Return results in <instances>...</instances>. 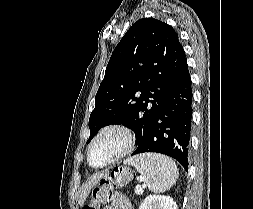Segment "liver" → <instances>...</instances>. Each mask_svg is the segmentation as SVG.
Wrapping results in <instances>:
<instances>
[{
    "mask_svg": "<svg viewBox=\"0 0 253 209\" xmlns=\"http://www.w3.org/2000/svg\"><path fill=\"white\" fill-rule=\"evenodd\" d=\"M107 172H101V173H97L94 174L88 181H86L80 189V195H79V200H78V204L80 206L84 205V202L86 200V198L88 197V194L90 192V190L96 186L98 184V182L107 175Z\"/></svg>",
    "mask_w": 253,
    "mask_h": 209,
    "instance_id": "1",
    "label": "liver"
}]
</instances>
